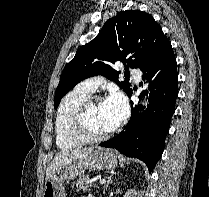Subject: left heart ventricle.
I'll return each instance as SVG.
<instances>
[{"label": "left heart ventricle", "mask_w": 209, "mask_h": 197, "mask_svg": "<svg viewBox=\"0 0 209 197\" xmlns=\"http://www.w3.org/2000/svg\"><path fill=\"white\" fill-rule=\"evenodd\" d=\"M102 105L103 102L98 101L87 112L86 127L90 134H102L113 128Z\"/></svg>", "instance_id": "left-heart-ventricle-1"}]
</instances>
